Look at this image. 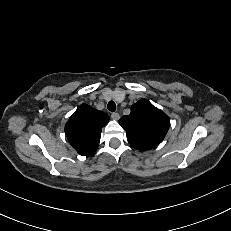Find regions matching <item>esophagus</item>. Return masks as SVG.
I'll use <instances>...</instances> for the list:
<instances>
[{"label":"esophagus","mask_w":231,"mask_h":231,"mask_svg":"<svg viewBox=\"0 0 231 231\" xmlns=\"http://www.w3.org/2000/svg\"><path fill=\"white\" fill-rule=\"evenodd\" d=\"M111 118H112L113 120H118V119L120 118V115H119V113L114 112V113L111 114Z\"/></svg>","instance_id":"1"}]
</instances>
